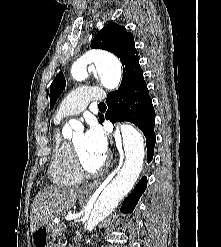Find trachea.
Wrapping results in <instances>:
<instances>
[{
	"label": "trachea",
	"mask_w": 221,
	"mask_h": 247,
	"mask_svg": "<svg viewBox=\"0 0 221 247\" xmlns=\"http://www.w3.org/2000/svg\"><path fill=\"white\" fill-rule=\"evenodd\" d=\"M98 107H99L100 110H105L106 109V105L103 102L99 103Z\"/></svg>",
	"instance_id": "3493384b"
}]
</instances>
